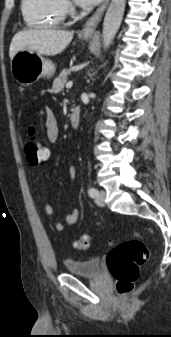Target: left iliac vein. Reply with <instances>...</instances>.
<instances>
[{
  "instance_id": "4c4485c4",
  "label": "left iliac vein",
  "mask_w": 171,
  "mask_h": 337,
  "mask_svg": "<svg viewBox=\"0 0 171 337\" xmlns=\"http://www.w3.org/2000/svg\"><path fill=\"white\" fill-rule=\"evenodd\" d=\"M105 197H106V192L103 191V190H100L96 199H95V202L97 205L99 206H104L105 205Z\"/></svg>"
}]
</instances>
